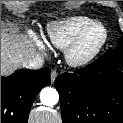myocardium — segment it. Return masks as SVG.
I'll use <instances>...</instances> for the list:
<instances>
[{
    "instance_id": "obj_1",
    "label": "myocardium",
    "mask_w": 123,
    "mask_h": 123,
    "mask_svg": "<svg viewBox=\"0 0 123 123\" xmlns=\"http://www.w3.org/2000/svg\"><path fill=\"white\" fill-rule=\"evenodd\" d=\"M95 28H101L103 30V37L97 46L84 56H79L77 54L78 48L85 39V37ZM108 40V30L107 28L99 22H94L83 31H81L74 40L67 46L64 51V57L68 65L72 67H83L92 62L97 55L101 52L103 47L106 45Z\"/></svg>"
}]
</instances>
